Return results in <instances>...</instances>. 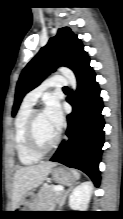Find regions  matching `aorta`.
<instances>
[{
    "mask_svg": "<svg viewBox=\"0 0 123 219\" xmlns=\"http://www.w3.org/2000/svg\"><path fill=\"white\" fill-rule=\"evenodd\" d=\"M59 72L68 80L70 87L75 91L77 88V81L73 71L66 67H60Z\"/></svg>",
    "mask_w": 123,
    "mask_h": 219,
    "instance_id": "aorta-1",
    "label": "aorta"
}]
</instances>
